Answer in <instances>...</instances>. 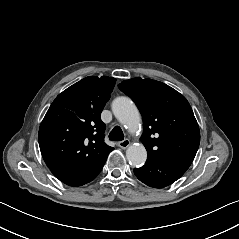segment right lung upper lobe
I'll list each match as a JSON object with an SVG mask.
<instances>
[{"label":"right lung upper lobe","mask_w":239,"mask_h":239,"mask_svg":"<svg viewBox=\"0 0 239 239\" xmlns=\"http://www.w3.org/2000/svg\"><path fill=\"white\" fill-rule=\"evenodd\" d=\"M115 78L90 76L70 86L51 104L39 128L41 154L50 170H83L114 149L104 142L100 114Z\"/></svg>","instance_id":"right-lung-upper-lobe-1"}]
</instances>
